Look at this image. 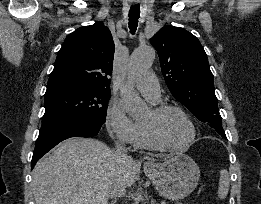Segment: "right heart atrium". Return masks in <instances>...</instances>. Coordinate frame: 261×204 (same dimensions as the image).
I'll list each match as a JSON object with an SVG mask.
<instances>
[{"label": "right heart atrium", "instance_id": "obj_1", "mask_svg": "<svg viewBox=\"0 0 261 204\" xmlns=\"http://www.w3.org/2000/svg\"><path fill=\"white\" fill-rule=\"evenodd\" d=\"M106 129L115 141L130 145L136 137V122L126 113L123 105L115 99L108 103L105 114Z\"/></svg>", "mask_w": 261, "mask_h": 204}]
</instances>
